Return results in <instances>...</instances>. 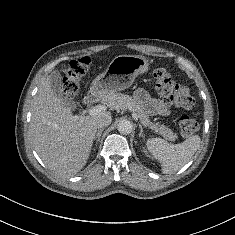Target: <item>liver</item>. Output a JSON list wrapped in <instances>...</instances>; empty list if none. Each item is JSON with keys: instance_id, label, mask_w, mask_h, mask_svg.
Segmentation results:
<instances>
[{"instance_id": "liver-1", "label": "liver", "mask_w": 235, "mask_h": 235, "mask_svg": "<svg viewBox=\"0 0 235 235\" xmlns=\"http://www.w3.org/2000/svg\"><path fill=\"white\" fill-rule=\"evenodd\" d=\"M109 112L73 115L56 94L51 75L33 99L30 131L33 145L44 164L55 173L71 176L86 164L97 131V121Z\"/></svg>"}]
</instances>
